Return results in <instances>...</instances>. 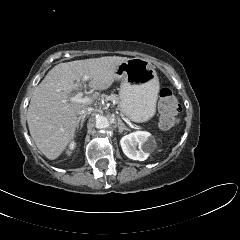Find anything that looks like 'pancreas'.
<instances>
[{"label":"pancreas","mask_w":240,"mask_h":240,"mask_svg":"<svg viewBox=\"0 0 240 240\" xmlns=\"http://www.w3.org/2000/svg\"><path fill=\"white\" fill-rule=\"evenodd\" d=\"M106 100L112 101L114 103H119V97L115 94H110L109 96L105 97Z\"/></svg>","instance_id":"cf45deb5"}]
</instances>
